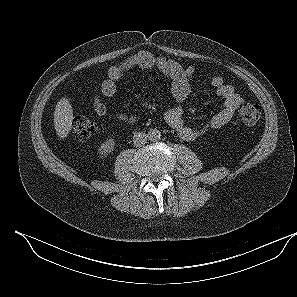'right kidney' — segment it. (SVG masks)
Listing matches in <instances>:
<instances>
[{
    "instance_id": "obj_1",
    "label": "right kidney",
    "mask_w": 297,
    "mask_h": 297,
    "mask_svg": "<svg viewBox=\"0 0 297 297\" xmlns=\"http://www.w3.org/2000/svg\"><path fill=\"white\" fill-rule=\"evenodd\" d=\"M115 148V140L113 138L107 139L104 143L101 144L98 149V153L101 158L107 157L110 153L114 151Z\"/></svg>"
}]
</instances>
